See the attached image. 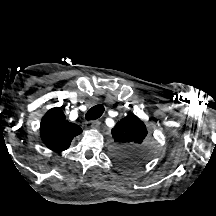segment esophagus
<instances>
[{"instance_id": "esophagus-1", "label": "esophagus", "mask_w": 216, "mask_h": 216, "mask_svg": "<svg viewBox=\"0 0 216 216\" xmlns=\"http://www.w3.org/2000/svg\"><path fill=\"white\" fill-rule=\"evenodd\" d=\"M100 121L99 120H94V121H87L85 123V127L87 129H94V128H97L99 125H100Z\"/></svg>"}]
</instances>
